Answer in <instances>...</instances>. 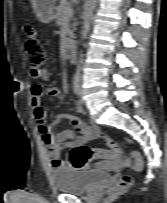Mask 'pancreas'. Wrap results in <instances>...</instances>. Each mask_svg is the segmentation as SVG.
Here are the masks:
<instances>
[{"instance_id": "1", "label": "pancreas", "mask_w": 167, "mask_h": 203, "mask_svg": "<svg viewBox=\"0 0 167 203\" xmlns=\"http://www.w3.org/2000/svg\"><path fill=\"white\" fill-rule=\"evenodd\" d=\"M68 7H70V4L67 2V0H62L60 5L56 7L55 21L57 25L63 26L65 23H69L72 19V16L68 17L66 14V9ZM71 27L72 25L68 24L67 35L69 38H67V47H70L72 44L71 38L73 37V30L70 29Z\"/></svg>"}]
</instances>
